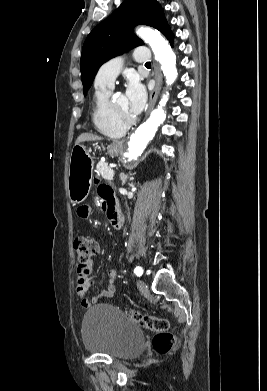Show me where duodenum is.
I'll return each instance as SVG.
<instances>
[{
    "mask_svg": "<svg viewBox=\"0 0 267 391\" xmlns=\"http://www.w3.org/2000/svg\"><path fill=\"white\" fill-rule=\"evenodd\" d=\"M108 216H109V219H110L112 226L115 229H120L122 227L123 217L118 210H115V211L109 213Z\"/></svg>",
    "mask_w": 267,
    "mask_h": 391,
    "instance_id": "obj_1",
    "label": "duodenum"
}]
</instances>
